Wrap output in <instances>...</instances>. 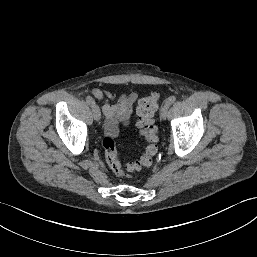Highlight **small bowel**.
Segmentation results:
<instances>
[{
	"instance_id": "1",
	"label": "small bowel",
	"mask_w": 257,
	"mask_h": 257,
	"mask_svg": "<svg viewBox=\"0 0 257 257\" xmlns=\"http://www.w3.org/2000/svg\"><path fill=\"white\" fill-rule=\"evenodd\" d=\"M91 94L103 102L102 110L106 117V133L110 136H116L118 134V123H125L130 118L137 95L135 93L122 95L116 104L111 105L109 99L114 98L112 92L99 88H92Z\"/></svg>"
}]
</instances>
